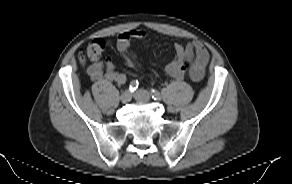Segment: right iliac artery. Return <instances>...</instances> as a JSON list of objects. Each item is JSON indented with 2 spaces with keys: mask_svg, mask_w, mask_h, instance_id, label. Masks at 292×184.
Segmentation results:
<instances>
[{
  "mask_svg": "<svg viewBox=\"0 0 292 184\" xmlns=\"http://www.w3.org/2000/svg\"><path fill=\"white\" fill-rule=\"evenodd\" d=\"M139 82L137 80H133L130 82L129 90L134 92L138 88Z\"/></svg>",
  "mask_w": 292,
  "mask_h": 184,
  "instance_id": "obj_1",
  "label": "right iliac artery"
}]
</instances>
